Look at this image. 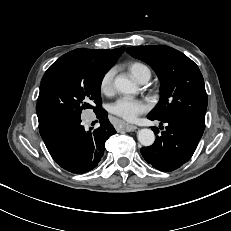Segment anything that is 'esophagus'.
<instances>
[{
    "instance_id": "34e87169",
    "label": "esophagus",
    "mask_w": 231,
    "mask_h": 231,
    "mask_svg": "<svg viewBox=\"0 0 231 231\" xmlns=\"http://www.w3.org/2000/svg\"><path fill=\"white\" fill-rule=\"evenodd\" d=\"M121 128L127 132H132L137 129V126L131 124H124Z\"/></svg>"
}]
</instances>
